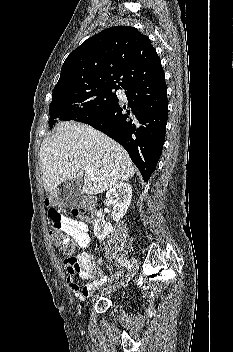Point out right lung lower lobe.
I'll use <instances>...</instances> for the list:
<instances>
[{"mask_svg": "<svg viewBox=\"0 0 233 352\" xmlns=\"http://www.w3.org/2000/svg\"><path fill=\"white\" fill-rule=\"evenodd\" d=\"M130 110L119 100L102 111L79 119L120 143L145 182L162 153L168 115L164 73L124 88Z\"/></svg>", "mask_w": 233, "mask_h": 352, "instance_id": "right-lung-lower-lobe-1", "label": "right lung lower lobe"}]
</instances>
